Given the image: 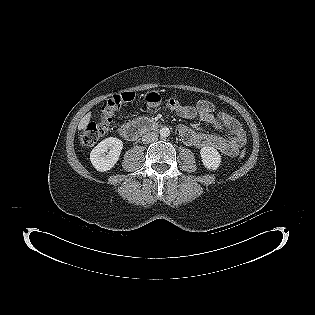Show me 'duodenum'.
<instances>
[{
	"label": "duodenum",
	"instance_id": "obj_1",
	"mask_svg": "<svg viewBox=\"0 0 315 315\" xmlns=\"http://www.w3.org/2000/svg\"><path fill=\"white\" fill-rule=\"evenodd\" d=\"M157 127L158 124L156 122L141 118L123 126L120 130V134L126 140L134 141L144 132L154 130Z\"/></svg>",
	"mask_w": 315,
	"mask_h": 315
}]
</instances>
